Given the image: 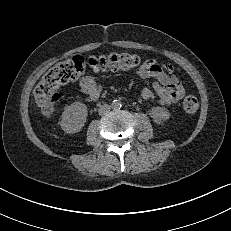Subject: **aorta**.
<instances>
[{
	"label": "aorta",
	"instance_id": "obj_1",
	"mask_svg": "<svg viewBox=\"0 0 231 231\" xmlns=\"http://www.w3.org/2000/svg\"><path fill=\"white\" fill-rule=\"evenodd\" d=\"M121 106H122V104H121V102L119 100H114L112 102V105H111V107L114 108V109H120Z\"/></svg>",
	"mask_w": 231,
	"mask_h": 231
}]
</instances>
